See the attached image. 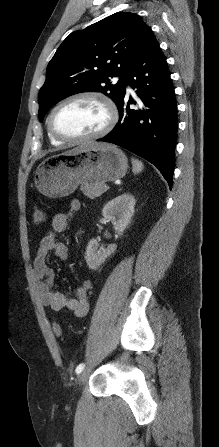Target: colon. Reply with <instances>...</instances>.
Returning a JSON list of instances; mask_svg holds the SVG:
<instances>
[{
  "label": "colon",
  "mask_w": 219,
  "mask_h": 447,
  "mask_svg": "<svg viewBox=\"0 0 219 447\" xmlns=\"http://www.w3.org/2000/svg\"><path fill=\"white\" fill-rule=\"evenodd\" d=\"M44 221L45 217L43 211L40 208L36 207L33 211V222L35 224H42ZM52 330L57 337H61L63 335V330L59 323H54Z\"/></svg>",
  "instance_id": "5ec220e1"
}]
</instances>
